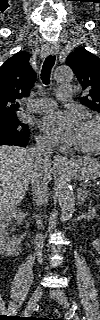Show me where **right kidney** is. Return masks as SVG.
I'll use <instances>...</instances> for the list:
<instances>
[{"label":"right kidney","instance_id":"ca27d5eb","mask_svg":"<svg viewBox=\"0 0 100 320\" xmlns=\"http://www.w3.org/2000/svg\"><path fill=\"white\" fill-rule=\"evenodd\" d=\"M20 212L16 208L7 209L0 214V248L7 255H13L20 251L19 245L22 238L9 237L8 227L12 221L19 219Z\"/></svg>","mask_w":100,"mask_h":320}]
</instances>
